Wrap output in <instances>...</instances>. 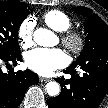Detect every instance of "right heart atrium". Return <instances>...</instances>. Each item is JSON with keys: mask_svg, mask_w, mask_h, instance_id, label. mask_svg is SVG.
<instances>
[{"mask_svg": "<svg viewBox=\"0 0 108 108\" xmlns=\"http://www.w3.org/2000/svg\"><path fill=\"white\" fill-rule=\"evenodd\" d=\"M34 25L35 23L32 18H27L20 24L17 37L22 48H28L33 44Z\"/></svg>", "mask_w": 108, "mask_h": 108, "instance_id": "1", "label": "right heart atrium"}]
</instances>
